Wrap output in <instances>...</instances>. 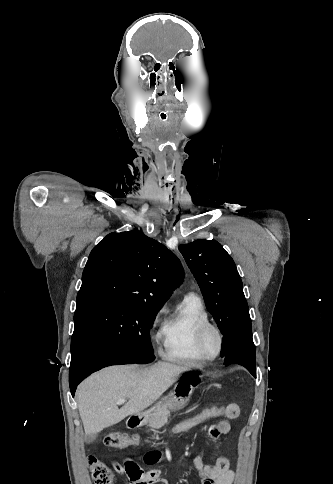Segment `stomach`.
<instances>
[{
	"label": "stomach",
	"mask_w": 333,
	"mask_h": 484,
	"mask_svg": "<svg viewBox=\"0 0 333 484\" xmlns=\"http://www.w3.org/2000/svg\"><path fill=\"white\" fill-rule=\"evenodd\" d=\"M198 379L187 378L177 383L173 391L167 396L161 398L148 411L151 416L163 409L172 406L174 409H180L189 401L194 389L198 386Z\"/></svg>",
	"instance_id": "stomach-1"
}]
</instances>
